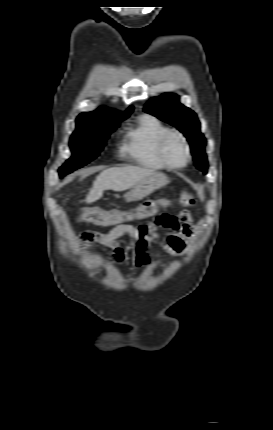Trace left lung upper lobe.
Here are the masks:
<instances>
[{
  "instance_id": "1",
  "label": "left lung upper lobe",
  "mask_w": 273,
  "mask_h": 430,
  "mask_svg": "<svg viewBox=\"0 0 273 430\" xmlns=\"http://www.w3.org/2000/svg\"><path fill=\"white\" fill-rule=\"evenodd\" d=\"M145 112L170 123L178 128L188 139L196 167L207 173L208 162L205 156V138L200 132V123L196 114L179 102L173 93H165L151 99L145 106Z\"/></svg>"
}]
</instances>
